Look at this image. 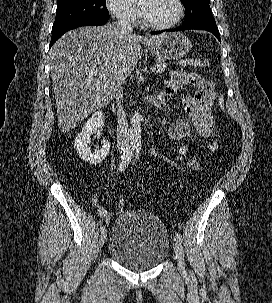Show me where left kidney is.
<instances>
[{"label":"left kidney","instance_id":"left-kidney-1","mask_svg":"<svg viewBox=\"0 0 272 303\" xmlns=\"http://www.w3.org/2000/svg\"><path fill=\"white\" fill-rule=\"evenodd\" d=\"M187 147H181L180 149H179V152L181 153V154H185L186 152H187Z\"/></svg>","mask_w":272,"mask_h":303}]
</instances>
